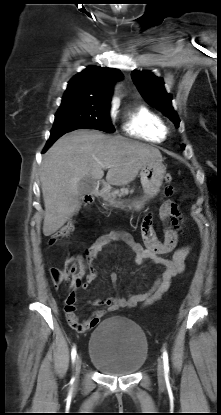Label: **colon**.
Listing matches in <instances>:
<instances>
[{
    "label": "colon",
    "instance_id": "5ec220e1",
    "mask_svg": "<svg viewBox=\"0 0 221 415\" xmlns=\"http://www.w3.org/2000/svg\"><path fill=\"white\" fill-rule=\"evenodd\" d=\"M165 181L170 183L172 181V175L166 174ZM169 209L167 207L162 206L160 210V215L164 217V219H169ZM174 226L178 227L179 224H173ZM74 227L71 223H68L61 227L57 232H55L49 240V244L51 246L56 245L61 240L67 238L71 232L73 231ZM84 274V263L80 257L72 256L66 259L62 267H51L50 268V275L52 282L56 288L60 287L63 283H65L68 279L71 278V288L79 286L83 284L82 278Z\"/></svg>",
    "mask_w": 221,
    "mask_h": 415
}]
</instances>
